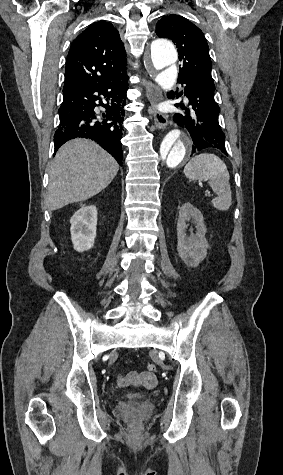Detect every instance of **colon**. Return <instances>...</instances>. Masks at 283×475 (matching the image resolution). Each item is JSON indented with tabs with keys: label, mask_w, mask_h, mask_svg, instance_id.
Here are the masks:
<instances>
[{
	"label": "colon",
	"mask_w": 283,
	"mask_h": 475,
	"mask_svg": "<svg viewBox=\"0 0 283 475\" xmlns=\"http://www.w3.org/2000/svg\"><path fill=\"white\" fill-rule=\"evenodd\" d=\"M156 371H157V366L154 363H149L147 365V372H146L147 374L154 376Z\"/></svg>",
	"instance_id": "obj_1"
}]
</instances>
